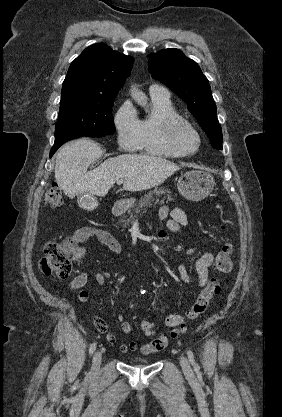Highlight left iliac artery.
Masks as SVG:
<instances>
[{"instance_id":"left-iliac-artery-1","label":"left iliac artery","mask_w":282,"mask_h":417,"mask_svg":"<svg viewBox=\"0 0 282 417\" xmlns=\"http://www.w3.org/2000/svg\"><path fill=\"white\" fill-rule=\"evenodd\" d=\"M187 355H188V358H189L190 363L192 365H194L195 364V360H194V354H193V352L191 350H187Z\"/></svg>"}]
</instances>
